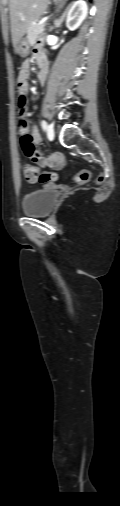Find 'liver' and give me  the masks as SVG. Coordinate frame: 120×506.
<instances>
[{"instance_id":"obj_1","label":"liver","mask_w":120,"mask_h":506,"mask_svg":"<svg viewBox=\"0 0 120 506\" xmlns=\"http://www.w3.org/2000/svg\"><path fill=\"white\" fill-rule=\"evenodd\" d=\"M48 4L49 0H10L13 45H16L25 35L30 24L40 18Z\"/></svg>"}]
</instances>
